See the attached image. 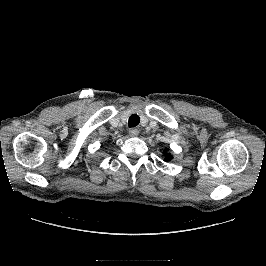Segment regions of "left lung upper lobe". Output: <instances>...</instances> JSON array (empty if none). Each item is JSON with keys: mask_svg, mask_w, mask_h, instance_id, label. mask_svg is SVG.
<instances>
[{"mask_svg": "<svg viewBox=\"0 0 266 266\" xmlns=\"http://www.w3.org/2000/svg\"><path fill=\"white\" fill-rule=\"evenodd\" d=\"M163 152L166 154L167 153V149H165ZM170 159H172V156L170 154H167V156L165 157V160L167 161V160H170Z\"/></svg>", "mask_w": 266, "mask_h": 266, "instance_id": "5c2ea615", "label": "left lung upper lobe"}]
</instances>
